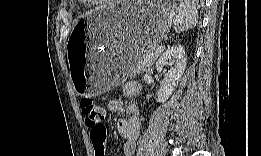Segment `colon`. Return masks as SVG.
<instances>
[{
	"instance_id": "obj_1",
	"label": "colon",
	"mask_w": 261,
	"mask_h": 156,
	"mask_svg": "<svg viewBox=\"0 0 261 156\" xmlns=\"http://www.w3.org/2000/svg\"><path fill=\"white\" fill-rule=\"evenodd\" d=\"M86 126L90 129V137L96 156L102 155L106 141V129L102 125L103 108L91 98H84L80 102Z\"/></svg>"
}]
</instances>
